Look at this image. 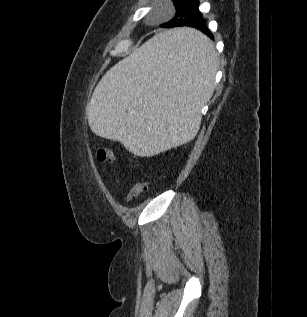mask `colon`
<instances>
[{"label": "colon", "mask_w": 307, "mask_h": 317, "mask_svg": "<svg viewBox=\"0 0 307 317\" xmlns=\"http://www.w3.org/2000/svg\"><path fill=\"white\" fill-rule=\"evenodd\" d=\"M96 159L101 163H113L115 162V156L113 151L107 147H99L96 150ZM149 182L136 183L125 196L127 201L139 196L143 192L149 189Z\"/></svg>", "instance_id": "colon-1"}]
</instances>
